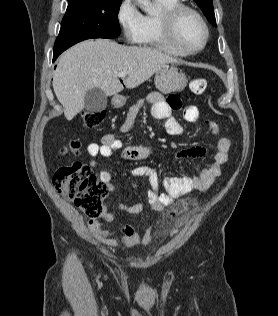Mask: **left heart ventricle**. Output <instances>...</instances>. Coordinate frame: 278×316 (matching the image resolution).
I'll return each mask as SVG.
<instances>
[{
	"mask_svg": "<svg viewBox=\"0 0 278 316\" xmlns=\"http://www.w3.org/2000/svg\"><path fill=\"white\" fill-rule=\"evenodd\" d=\"M179 32L182 41L190 48H197L203 42L204 29L201 23L189 13L181 18Z\"/></svg>",
	"mask_w": 278,
	"mask_h": 316,
	"instance_id": "left-heart-ventricle-1",
	"label": "left heart ventricle"
}]
</instances>
